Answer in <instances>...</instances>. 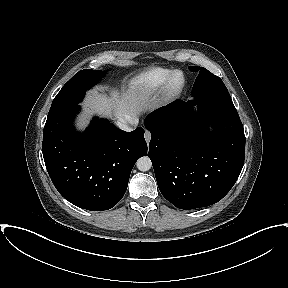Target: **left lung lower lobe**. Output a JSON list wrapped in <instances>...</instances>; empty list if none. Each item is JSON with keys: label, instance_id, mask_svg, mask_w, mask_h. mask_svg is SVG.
Instances as JSON below:
<instances>
[{"label": "left lung lower lobe", "instance_id": "left-lung-lower-lobe-1", "mask_svg": "<svg viewBox=\"0 0 288 288\" xmlns=\"http://www.w3.org/2000/svg\"><path fill=\"white\" fill-rule=\"evenodd\" d=\"M195 105L197 113L192 110ZM145 127L151 132L148 157L159 190L177 208L212 205L237 181L245 135L236 110L176 100L150 113Z\"/></svg>", "mask_w": 288, "mask_h": 288}]
</instances>
